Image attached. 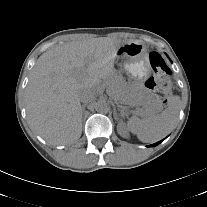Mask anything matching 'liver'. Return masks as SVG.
Listing matches in <instances>:
<instances>
[{"label":"liver","instance_id":"obj_1","mask_svg":"<svg viewBox=\"0 0 207 207\" xmlns=\"http://www.w3.org/2000/svg\"><path fill=\"white\" fill-rule=\"evenodd\" d=\"M122 45L119 40L99 37L65 43L43 53L26 87L31 128L52 145L78 140L82 134L79 93L93 91L111 77Z\"/></svg>","mask_w":207,"mask_h":207}]
</instances>
